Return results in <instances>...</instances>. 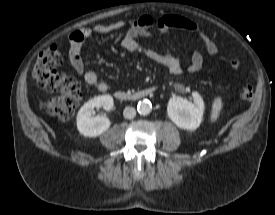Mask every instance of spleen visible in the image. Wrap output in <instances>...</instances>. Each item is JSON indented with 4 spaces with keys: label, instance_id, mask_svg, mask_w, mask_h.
I'll list each match as a JSON object with an SVG mask.
<instances>
[{
    "label": "spleen",
    "instance_id": "3e777b00",
    "mask_svg": "<svg viewBox=\"0 0 275 215\" xmlns=\"http://www.w3.org/2000/svg\"><path fill=\"white\" fill-rule=\"evenodd\" d=\"M221 106H222V103H221V99L220 98H217L213 104V114H212V118L213 119H216L217 118V115H218V112L220 111L221 109Z\"/></svg>",
    "mask_w": 275,
    "mask_h": 215
}]
</instances>
